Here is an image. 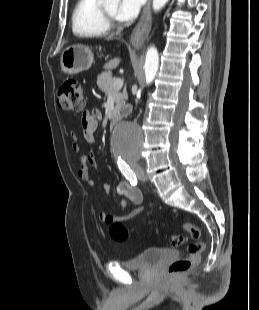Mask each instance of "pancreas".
Masks as SVG:
<instances>
[{
    "instance_id": "obj_1",
    "label": "pancreas",
    "mask_w": 259,
    "mask_h": 310,
    "mask_svg": "<svg viewBox=\"0 0 259 310\" xmlns=\"http://www.w3.org/2000/svg\"><path fill=\"white\" fill-rule=\"evenodd\" d=\"M114 80L115 79L112 77L110 72L102 73L97 78V85L99 89L107 96L112 95L116 104L112 114L113 122L116 119L121 118V112L123 111L126 105V100L128 99L127 92L125 90L120 92L119 90L112 88Z\"/></svg>"
}]
</instances>
